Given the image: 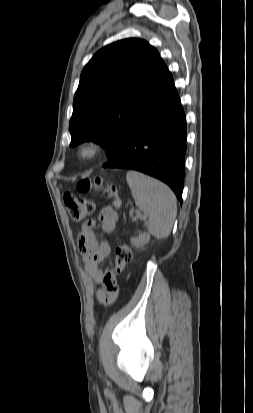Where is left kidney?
Masks as SVG:
<instances>
[{"instance_id": "5707ae66", "label": "left kidney", "mask_w": 253, "mask_h": 413, "mask_svg": "<svg viewBox=\"0 0 253 413\" xmlns=\"http://www.w3.org/2000/svg\"><path fill=\"white\" fill-rule=\"evenodd\" d=\"M150 241V235L145 232H139L137 237L131 239V244L137 248L143 247Z\"/></svg>"}]
</instances>
